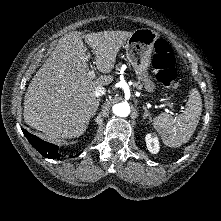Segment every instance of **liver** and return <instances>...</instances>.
<instances>
[{"label":"liver","mask_w":221,"mask_h":221,"mask_svg":"<svg viewBox=\"0 0 221 221\" xmlns=\"http://www.w3.org/2000/svg\"><path fill=\"white\" fill-rule=\"evenodd\" d=\"M132 33L101 31L83 35L71 31L60 38L27 88L25 123L51 139L81 136L97 108L95 88L113 81L112 75H101L96 80L88 76L89 60L82 38L95 54L97 69L108 74Z\"/></svg>","instance_id":"6515ba94"}]
</instances>
